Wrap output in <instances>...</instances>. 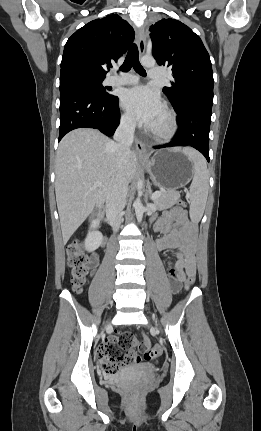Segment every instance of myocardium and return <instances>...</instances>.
<instances>
[{
    "label": "myocardium",
    "mask_w": 261,
    "mask_h": 431,
    "mask_svg": "<svg viewBox=\"0 0 261 431\" xmlns=\"http://www.w3.org/2000/svg\"><path fill=\"white\" fill-rule=\"evenodd\" d=\"M164 115L167 122V125L164 129H149V132L152 137L159 142L170 141L175 136L178 129V123L175 113L171 109L166 107L164 109Z\"/></svg>",
    "instance_id": "myocardium-1"
}]
</instances>
